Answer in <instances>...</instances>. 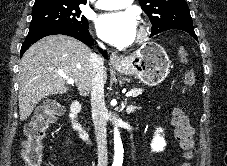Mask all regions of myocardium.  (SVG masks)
Returning a JSON list of instances; mask_svg holds the SVG:
<instances>
[{"mask_svg":"<svg viewBox=\"0 0 227 166\" xmlns=\"http://www.w3.org/2000/svg\"><path fill=\"white\" fill-rule=\"evenodd\" d=\"M147 36H148V29L144 25L140 26L138 34L136 36L137 42L139 43L143 42L147 38Z\"/></svg>","mask_w":227,"mask_h":166,"instance_id":"1","label":"myocardium"}]
</instances>
